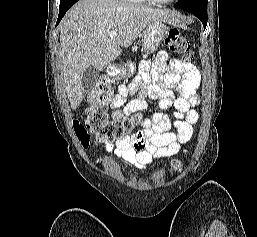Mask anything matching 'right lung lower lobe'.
Returning a JSON list of instances; mask_svg holds the SVG:
<instances>
[{"label":"right lung lower lobe","instance_id":"1","mask_svg":"<svg viewBox=\"0 0 257 237\" xmlns=\"http://www.w3.org/2000/svg\"><path fill=\"white\" fill-rule=\"evenodd\" d=\"M78 0H76L74 3H76ZM70 4L68 6H65V7H62V8H59V15H58V19H57V24H59V22L61 21V19L63 18V16L65 15V13L67 12V10L74 4Z\"/></svg>","mask_w":257,"mask_h":237}]
</instances>
